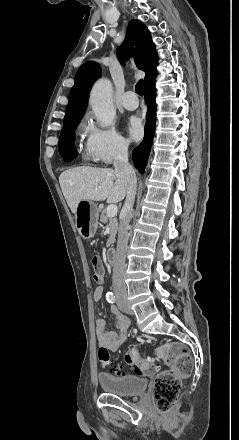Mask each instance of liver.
<instances>
[{"label": "liver", "mask_w": 239, "mask_h": 440, "mask_svg": "<svg viewBox=\"0 0 239 440\" xmlns=\"http://www.w3.org/2000/svg\"><path fill=\"white\" fill-rule=\"evenodd\" d=\"M115 180V182H114ZM63 196L73 214L81 200L117 204L126 196V186L119 174L112 168H72L62 172L59 178Z\"/></svg>", "instance_id": "6515ba94"}]
</instances>
